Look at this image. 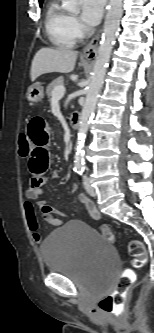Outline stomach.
Returning a JSON list of instances; mask_svg holds the SVG:
<instances>
[{
	"label": "stomach",
	"mask_w": 154,
	"mask_h": 333,
	"mask_svg": "<svg viewBox=\"0 0 154 333\" xmlns=\"http://www.w3.org/2000/svg\"><path fill=\"white\" fill-rule=\"evenodd\" d=\"M27 99L32 103L40 102L44 97V89L40 83L32 84L26 94Z\"/></svg>",
	"instance_id": "1"
}]
</instances>
